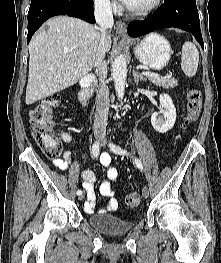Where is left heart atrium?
<instances>
[{
    "label": "left heart atrium",
    "mask_w": 221,
    "mask_h": 263,
    "mask_svg": "<svg viewBox=\"0 0 221 263\" xmlns=\"http://www.w3.org/2000/svg\"><path fill=\"white\" fill-rule=\"evenodd\" d=\"M120 1H122L124 4L128 5L131 0H120Z\"/></svg>",
    "instance_id": "39dd6f15"
}]
</instances>
